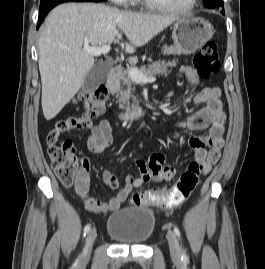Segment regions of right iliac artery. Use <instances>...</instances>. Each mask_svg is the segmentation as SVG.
Wrapping results in <instances>:
<instances>
[{"label": "right iliac artery", "mask_w": 265, "mask_h": 269, "mask_svg": "<svg viewBox=\"0 0 265 269\" xmlns=\"http://www.w3.org/2000/svg\"><path fill=\"white\" fill-rule=\"evenodd\" d=\"M89 230H90V225H86L84 227V236L89 232Z\"/></svg>", "instance_id": "right-iliac-artery-1"}]
</instances>
